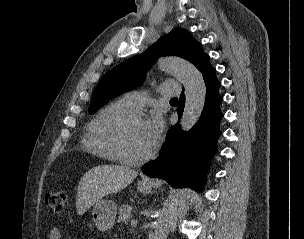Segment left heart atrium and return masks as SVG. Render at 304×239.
<instances>
[{"label": "left heart atrium", "mask_w": 304, "mask_h": 239, "mask_svg": "<svg viewBox=\"0 0 304 239\" xmlns=\"http://www.w3.org/2000/svg\"><path fill=\"white\" fill-rule=\"evenodd\" d=\"M164 129V120L160 113L153 114L145 123L144 131L150 148L159 141Z\"/></svg>", "instance_id": "39dd6f15"}]
</instances>
